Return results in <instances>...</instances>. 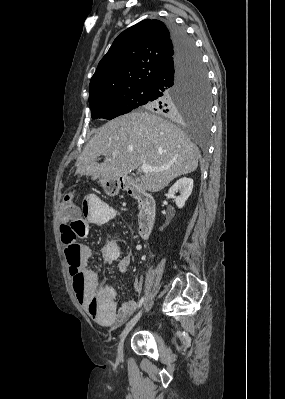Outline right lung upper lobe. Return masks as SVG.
<instances>
[{"label":"right lung upper lobe","instance_id":"cb5924a9","mask_svg":"<svg viewBox=\"0 0 285 399\" xmlns=\"http://www.w3.org/2000/svg\"><path fill=\"white\" fill-rule=\"evenodd\" d=\"M174 54L170 30L163 22L146 19L126 29L99 62L90 81L89 100L150 87Z\"/></svg>","mask_w":285,"mask_h":399}]
</instances>
